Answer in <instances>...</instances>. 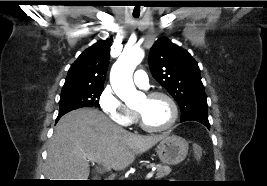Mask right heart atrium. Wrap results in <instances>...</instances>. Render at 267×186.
<instances>
[{"mask_svg": "<svg viewBox=\"0 0 267 186\" xmlns=\"http://www.w3.org/2000/svg\"><path fill=\"white\" fill-rule=\"evenodd\" d=\"M98 103L113 122L124 127L132 124L134 113L125 106L110 86L103 88L98 97Z\"/></svg>", "mask_w": 267, "mask_h": 186, "instance_id": "d8ad5b80", "label": "right heart atrium"}]
</instances>
